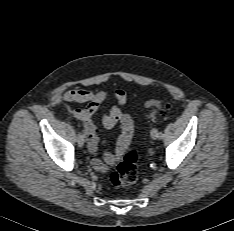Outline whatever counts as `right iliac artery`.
Listing matches in <instances>:
<instances>
[{"label": "right iliac artery", "instance_id": "1", "mask_svg": "<svg viewBox=\"0 0 234 231\" xmlns=\"http://www.w3.org/2000/svg\"><path fill=\"white\" fill-rule=\"evenodd\" d=\"M78 137H80V138H84V137H85V135H84L83 133L79 132V133H78Z\"/></svg>", "mask_w": 234, "mask_h": 231}]
</instances>
